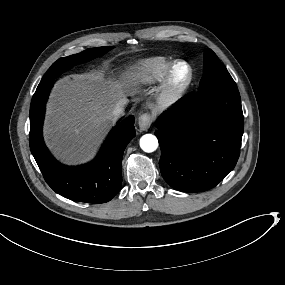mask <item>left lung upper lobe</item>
Listing matches in <instances>:
<instances>
[{
	"instance_id": "5c2ea615",
	"label": "left lung upper lobe",
	"mask_w": 285,
	"mask_h": 285,
	"mask_svg": "<svg viewBox=\"0 0 285 285\" xmlns=\"http://www.w3.org/2000/svg\"><path fill=\"white\" fill-rule=\"evenodd\" d=\"M235 82L216 54L207 49L204 54L203 76L200 86H235Z\"/></svg>"
}]
</instances>
